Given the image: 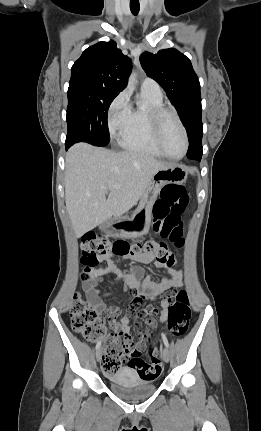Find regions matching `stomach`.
<instances>
[{"label":"stomach","instance_id":"stomach-1","mask_svg":"<svg viewBox=\"0 0 261 431\" xmlns=\"http://www.w3.org/2000/svg\"><path fill=\"white\" fill-rule=\"evenodd\" d=\"M188 179L184 166L170 165L159 170L141 197L135 212L129 217H119L100 225V229L112 237L137 238L148 233L153 205L161 189L167 184H183Z\"/></svg>","mask_w":261,"mask_h":431}]
</instances>
